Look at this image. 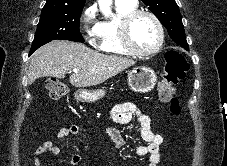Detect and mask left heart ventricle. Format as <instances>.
I'll use <instances>...</instances> for the list:
<instances>
[{"label": "left heart ventricle", "instance_id": "obj_1", "mask_svg": "<svg viewBox=\"0 0 227 166\" xmlns=\"http://www.w3.org/2000/svg\"><path fill=\"white\" fill-rule=\"evenodd\" d=\"M130 37L136 47L149 50L157 42V28L151 18L140 16L131 26Z\"/></svg>", "mask_w": 227, "mask_h": 166}]
</instances>
